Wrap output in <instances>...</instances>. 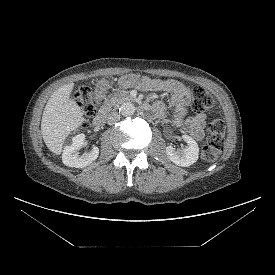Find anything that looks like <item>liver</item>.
I'll return each instance as SVG.
<instances>
[{"label": "liver", "mask_w": 275, "mask_h": 275, "mask_svg": "<svg viewBox=\"0 0 275 275\" xmlns=\"http://www.w3.org/2000/svg\"><path fill=\"white\" fill-rule=\"evenodd\" d=\"M72 89L73 83L58 88L50 96L42 115L43 140L56 155L61 154L65 139L85 121L81 107L70 99Z\"/></svg>", "instance_id": "obj_1"}]
</instances>
